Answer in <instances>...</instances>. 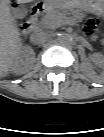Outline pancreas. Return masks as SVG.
Returning <instances> with one entry per match:
<instances>
[{
    "label": "pancreas",
    "instance_id": "pancreas-1",
    "mask_svg": "<svg viewBox=\"0 0 104 137\" xmlns=\"http://www.w3.org/2000/svg\"><path fill=\"white\" fill-rule=\"evenodd\" d=\"M66 12H50L42 17L40 24L49 29H55L66 24L67 15Z\"/></svg>",
    "mask_w": 104,
    "mask_h": 137
}]
</instances>
